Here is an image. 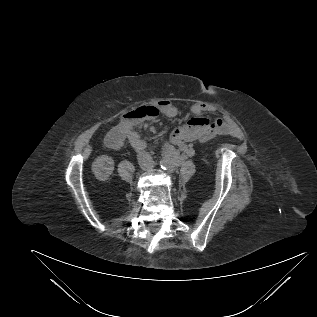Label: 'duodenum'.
Here are the masks:
<instances>
[{"label": "duodenum", "instance_id": "obj_1", "mask_svg": "<svg viewBox=\"0 0 317 317\" xmlns=\"http://www.w3.org/2000/svg\"><path fill=\"white\" fill-rule=\"evenodd\" d=\"M123 143V139L121 135L114 134L110 137L108 145L113 149H119Z\"/></svg>", "mask_w": 317, "mask_h": 317}]
</instances>
